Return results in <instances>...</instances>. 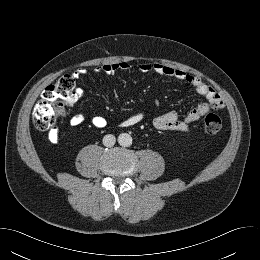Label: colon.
I'll return each instance as SVG.
<instances>
[{
	"label": "colon",
	"instance_id": "5ec220e1",
	"mask_svg": "<svg viewBox=\"0 0 260 260\" xmlns=\"http://www.w3.org/2000/svg\"><path fill=\"white\" fill-rule=\"evenodd\" d=\"M76 99L74 78L71 75H63L44 90L41 99L37 102L33 111L35 127L42 131L54 132L66 106ZM203 126L207 133L216 135L221 130L222 122L217 114L209 113L203 119Z\"/></svg>",
	"mask_w": 260,
	"mask_h": 260
}]
</instances>
